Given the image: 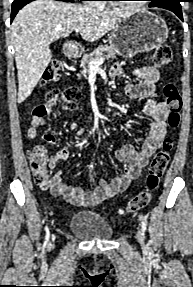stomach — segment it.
Returning <instances> with one entry per match:
<instances>
[{"label": "stomach", "instance_id": "obj_1", "mask_svg": "<svg viewBox=\"0 0 193 287\" xmlns=\"http://www.w3.org/2000/svg\"><path fill=\"white\" fill-rule=\"evenodd\" d=\"M168 37L166 22L154 13L139 10L123 19L109 37L110 47L129 58L162 45Z\"/></svg>", "mask_w": 193, "mask_h": 287}]
</instances>
